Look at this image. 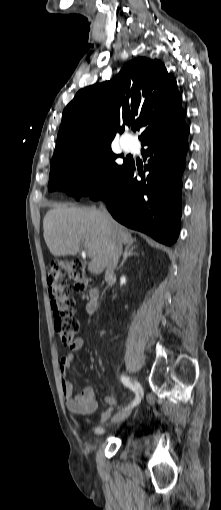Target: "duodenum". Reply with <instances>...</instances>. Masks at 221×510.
<instances>
[{
  "instance_id": "1",
  "label": "duodenum",
  "mask_w": 221,
  "mask_h": 510,
  "mask_svg": "<svg viewBox=\"0 0 221 510\" xmlns=\"http://www.w3.org/2000/svg\"><path fill=\"white\" fill-rule=\"evenodd\" d=\"M98 297H99L98 291L96 289H92L90 291L89 301L86 305V310L88 313H93L96 310Z\"/></svg>"
}]
</instances>
